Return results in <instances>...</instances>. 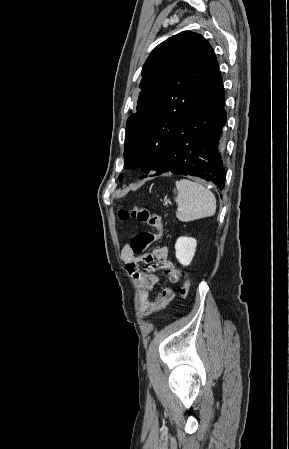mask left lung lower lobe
I'll return each instance as SVG.
<instances>
[{
	"label": "left lung lower lobe",
	"instance_id": "obj_1",
	"mask_svg": "<svg viewBox=\"0 0 289 449\" xmlns=\"http://www.w3.org/2000/svg\"><path fill=\"white\" fill-rule=\"evenodd\" d=\"M225 96L217 60L207 74L194 106L178 123L168 141L167 155L155 175L165 172L191 175L225 185L223 132L226 125Z\"/></svg>",
	"mask_w": 289,
	"mask_h": 449
}]
</instances>
